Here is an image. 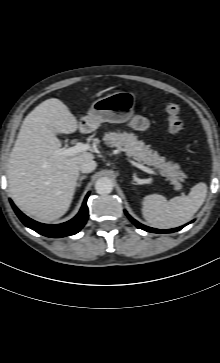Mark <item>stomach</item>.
I'll return each mask as SVG.
<instances>
[{
    "label": "stomach",
    "mask_w": 220,
    "mask_h": 363,
    "mask_svg": "<svg viewBox=\"0 0 220 363\" xmlns=\"http://www.w3.org/2000/svg\"><path fill=\"white\" fill-rule=\"evenodd\" d=\"M136 95L131 91H117L96 100L87 115L79 121L81 129L95 130L103 122L125 123L134 114Z\"/></svg>",
    "instance_id": "1"
}]
</instances>
